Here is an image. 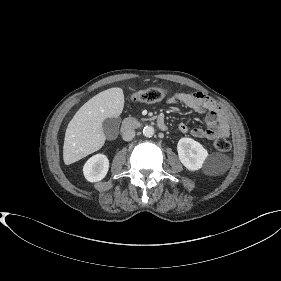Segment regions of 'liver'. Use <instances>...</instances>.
<instances>
[{"label":"liver","instance_id":"liver-1","mask_svg":"<svg viewBox=\"0 0 281 281\" xmlns=\"http://www.w3.org/2000/svg\"><path fill=\"white\" fill-rule=\"evenodd\" d=\"M119 87L102 91L88 100L69 122L63 145V160L70 165L99 150L105 143L103 121L117 118L124 108Z\"/></svg>","mask_w":281,"mask_h":281}]
</instances>
